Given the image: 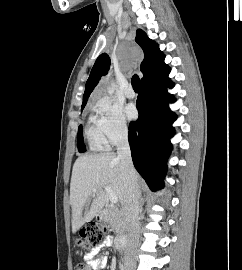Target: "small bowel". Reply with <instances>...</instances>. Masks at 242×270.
<instances>
[{"label": "small bowel", "instance_id": "small-bowel-1", "mask_svg": "<svg viewBox=\"0 0 242 270\" xmlns=\"http://www.w3.org/2000/svg\"><path fill=\"white\" fill-rule=\"evenodd\" d=\"M109 244H111V240L107 239L101 246L95 247L90 252H88L85 255V260L88 261L90 264H92L97 270L103 269L106 265V257L101 256V257L95 258V255L97 254V252L99 251L101 247L107 246Z\"/></svg>", "mask_w": 242, "mask_h": 270}]
</instances>
